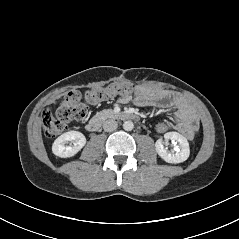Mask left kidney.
Here are the masks:
<instances>
[{
  "mask_svg": "<svg viewBox=\"0 0 239 239\" xmlns=\"http://www.w3.org/2000/svg\"><path fill=\"white\" fill-rule=\"evenodd\" d=\"M164 138L166 141L171 140L174 144L178 143L175 153H171L164 148V142L161 139L156 141V152L164 161L177 164L188 159L190 155L189 143L183 135L177 132H168L164 135Z\"/></svg>",
  "mask_w": 239,
  "mask_h": 239,
  "instance_id": "obj_1",
  "label": "left kidney"
}]
</instances>
